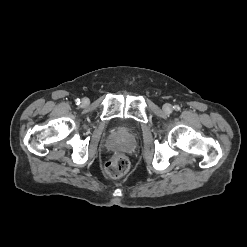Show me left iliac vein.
Returning a JSON list of instances; mask_svg holds the SVG:
<instances>
[{
	"label": "left iliac vein",
	"instance_id": "left-iliac-vein-1",
	"mask_svg": "<svg viewBox=\"0 0 247 247\" xmlns=\"http://www.w3.org/2000/svg\"><path fill=\"white\" fill-rule=\"evenodd\" d=\"M163 110L166 112V113H171L172 112V105L169 104V103H166L163 105Z\"/></svg>",
	"mask_w": 247,
	"mask_h": 247
}]
</instances>
